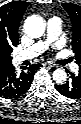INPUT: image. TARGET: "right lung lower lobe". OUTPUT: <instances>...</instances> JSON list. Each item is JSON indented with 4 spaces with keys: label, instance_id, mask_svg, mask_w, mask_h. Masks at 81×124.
I'll return each mask as SVG.
<instances>
[{
    "label": "right lung lower lobe",
    "instance_id": "1",
    "mask_svg": "<svg viewBox=\"0 0 81 124\" xmlns=\"http://www.w3.org/2000/svg\"><path fill=\"white\" fill-rule=\"evenodd\" d=\"M41 64H33L23 67L18 72L12 65L0 70V96L4 98H18L25 94L32 83L34 74Z\"/></svg>",
    "mask_w": 81,
    "mask_h": 124
}]
</instances>
